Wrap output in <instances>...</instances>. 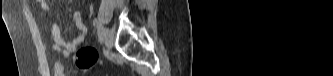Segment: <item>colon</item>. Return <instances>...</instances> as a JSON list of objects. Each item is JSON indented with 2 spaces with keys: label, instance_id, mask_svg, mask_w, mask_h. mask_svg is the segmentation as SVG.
I'll return each instance as SVG.
<instances>
[{
  "label": "colon",
  "instance_id": "colon-1",
  "mask_svg": "<svg viewBox=\"0 0 333 76\" xmlns=\"http://www.w3.org/2000/svg\"><path fill=\"white\" fill-rule=\"evenodd\" d=\"M98 60V53L92 46H84L78 50L75 57L76 66L83 70L88 71L94 67Z\"/></svg>",
  "mask_w": 333,
  "mask_h": 76
}]
</instances>
